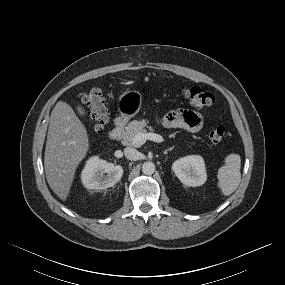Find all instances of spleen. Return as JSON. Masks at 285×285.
Masks as SVG:
<instances>
[{
    "label": "spleen",
    "mask_w": 285,
    "mask_h": 285,
    "mask_svg": "<svg viewBox=\"0 0 285 285\" xmlns=\"http://www.w3.org/2000/svg\"><path fill=\"white\" fill-rule=\"evenodd\" d=\"M225 165L218 170V186L225 196L231 195L241 181V159L238 154H230L224 159Z\"/></svg>",
    "instance_id": "3e777b00"
}]
</instances>
